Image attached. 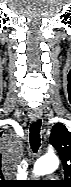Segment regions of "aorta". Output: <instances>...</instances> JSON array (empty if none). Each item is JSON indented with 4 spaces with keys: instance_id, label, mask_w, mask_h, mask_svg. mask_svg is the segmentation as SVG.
<instances>
[{
    "instance_id": "obj_1",
    "label": "aorta",
    "mask_w": 71,
    "mask_h": 187,
    "mask_svg": "<svg viewBox=\"0 0 71 187\" xmlns=\"http://www.w3.org/2000/svg\"><path fill=\"white\" fill-rule=\"evenodd\" d=\"M59 166V159L55 155H46L39 158L33 168V173L37 176L54 172Z\"/></svg>"
}]
</instances>
